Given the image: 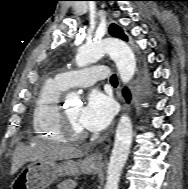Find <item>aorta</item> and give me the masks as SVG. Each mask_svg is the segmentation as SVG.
<instances>
[{
  "label": "aorta",
  "mask_w": 188,
  "mask_h": 189,
  "mask_svg": "<svg viewBox=\"0 0 188 189\" xmlns=\"http://www.w3.org/2000/svg\"><path fill=\"white\" fill-rule=\"evenodd\" d=\"M108 54L116 63L123 83H128L136 70V60L131 48L122 40L105 38L78 49L76 64L84 67ZM79 95L71 92L66 96L67 103H76ZM132 123L127 115H122L116 129L115 142L107 168L105 189H118L120 176L128 158L132 143Z\"/></svg>",
  "instance_id": "aorta-1"
}]
</instances>
